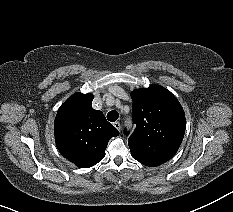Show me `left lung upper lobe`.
I'll return each mask as SVG.
<instances>
[{"mask_svg": "<svg viewBox=\"0 0 233 212\" xmlns=\"http://www.w3.org/2000/svg\"><path fill=\"white\" fill-rule=\"evenodd\" d=\"M131 97L136 124L128 139L131 155L146 166L163 164L174 156L183 140L186 127L183 108L170 91L157 84L135 89Z\"/></svg>", "mask_w": 233, "mask_h": 212, "instance_id": "5c2ea615", "label": "left lung upper lobe"}]
</instances>
